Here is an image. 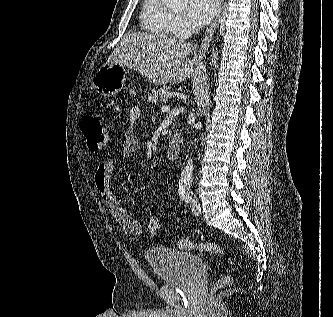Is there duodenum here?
I'll return each instance as SVG.
<instances>
[{"label":"duodenum","mask_w":333,"mask_h":317,"mask_svg":"<svg viewBox=\"0 0 333 317\" xmlns=\"http://www.w3.org/2000/svg\"><path fill=\"white\" fill-rule=\"evenodd\" d=\"M181 153V141L179 136H173L166 146V155L170 160H177Z\"/></svg>","instance_id":"1"}]
</instances>
